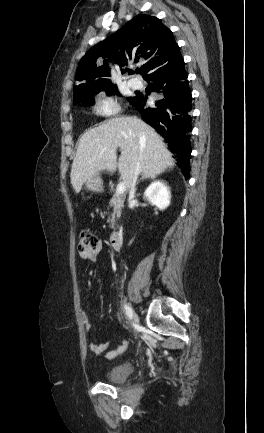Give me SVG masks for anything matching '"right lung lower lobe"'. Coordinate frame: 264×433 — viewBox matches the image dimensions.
<instances>
[{
    "instance_id": "1",
    "label": "right lung lower lobe",
    "mask_w": 264,
    "mask_h": 433,
    "mask_svg": "<svg viewBox=\"0 0 264 433\" xmlns=\"http://www.w3.org/2000/svg\"><path fill=\"white\" fill-rule=\"evenodd\" d=\"M187 77L184 60L178 54L144 76L151 91L158 94L154 104H149L147 95L142 94H137L130 102L143 120L167 140L183 175L189 179L192 95Z\"/></svg>"
}]
</instances>
